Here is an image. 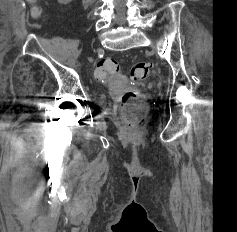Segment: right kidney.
Segmentation results:
<instances>
[{
	"instance_id": "ca27d5eb",
	"label": "right kidney",
	"mask_w": 237,
	"mask_h": 232,
	"mask_svg": "<svg viewBox=\"0 0 237 232\" xmlns=\"http://www.w3.org/2000/svg\"><path fill=\"white\" fill-rule=\"evenodd\" d=\"M60 4H68L72 0H57Z\"/></svg>"
}]
</instances>
